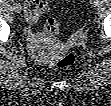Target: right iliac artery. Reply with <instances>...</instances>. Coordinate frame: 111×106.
I'll return each mask as SVG.
<instances>
[{
    "label": "right iliac artery",
    "mask_w": 111,
    "mask_h": 106,
    "mask_svg": "<svg viewBox=\"0 0 111 106\" xmlns=\"http://www.w3.org/2000/svg\"><path fill=\"white\" fill-rule=\"evenodd\" d=\"M10 2H11L13 5L15 4V1H14V0H11Z\"/></svg>",
    "instance_id": "82829eb1"
}]
</instances>
